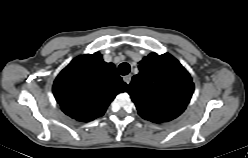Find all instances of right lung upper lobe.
Listing matches in <instances>:
<instances>
[{"instance_id": "cb5924a9", "label": "right lung upper lobe", "mask_w": 248, "mask_h": 158, "mask_svg": "<svg viewBox=\"0 0 248 158\" xmlns=\"http://www.w3.org/2000/svg\"><path fill=\"white\" fill-rule=\"evenodd\" d=\"M127 88L113 63L98 52L76 57L53 84V93L62 111L78 121L102 116L118 93Z\"/></svg>"}]
</instances>
